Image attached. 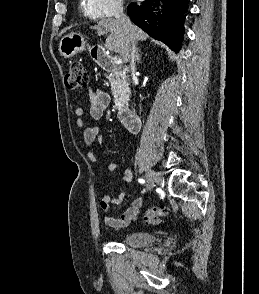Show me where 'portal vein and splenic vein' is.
Segmentation results:
<instances>
[{
    "label": "portal vein and splenic vein",
    "instance_id": "portal-vein-and-splenic-vein-1",
    "mask_svg": "<svg viewBox=\"0 0 259 294\" xmlns=\"http://www.w3.org/2000/svg\"><path fill=\"white\" fill-rule=\"evenodd\" d=\"M112 62L117 64V65H120V64H122V59L120 57H118V56H114L112 58Z\"/></svg>",
    "mask_w": 259,
    "mask_h": 294
}]
</instances>
